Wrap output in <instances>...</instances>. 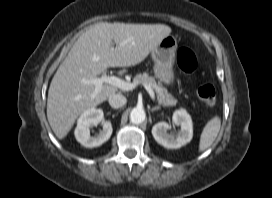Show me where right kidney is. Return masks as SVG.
Returning a JSON list of instances; mask_svg holds the SVG:
<instances>
[{"instance_id": "obj_1", "label": "right kidney", "mask_w": 272, "mask_h": 198, "mask_svg": "<svg viewBox=\"0 0 272 198\" xmlns=\"http://www.w3.org/2000/svg\"><path fill=\"white\" fill-rule=\"evenodd\" d=\"M99 123H102L103 129L97 135L91 136L90 127L97 126ZM112 131V124L104 120L102 109L91 108L80 115L74 134L81 145L93 148L106 142L111 137Z\"/></svg>"}]
</instances>
